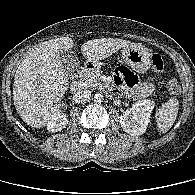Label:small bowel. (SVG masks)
<instances>
[{
    "label": "small bowel",
    "mask_w": 195,
    "mask_h": 195,
    "mask_svg": "<svg viewBox=\"0 0 195 195\" xmlns=\"http://www.w3.org/2000/svg\"><path fill=\"white\" fill-rule=\"evenodd\" d=\"M123 88L126 94L130 97H143L155 90L152 83H141L138 77L132 73L128 68L120 66L116 69L115 83L113 92H118Z\"/></svg>",
    "instance_id": "obj_1"
}]
</instances>
